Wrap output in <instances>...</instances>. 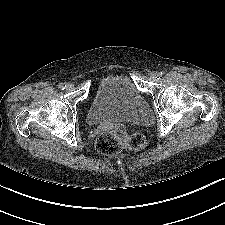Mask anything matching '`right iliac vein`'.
<instances>
[{
  "mask_svg": "<svg viewBox=\"0 0 225 225\" xmlns=\"http://www.w3.org/2000/svg\"><path fill=\"white\" fill-rule=\"evenodd\" d=\"M74 89V84L73 83H68L67 85H66V90L67 91H72Z\"/></svg>",
  "mask_w": 225,
  "mask_h": 225,
  "instance_id": "obj_1",
  "label": "right iliac vein"
}]
</instances>
